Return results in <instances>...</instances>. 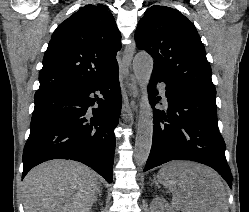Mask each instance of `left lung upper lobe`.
Listing matches in <instances>:
<instances>
[{
  "label": "left lung upper lobe",
  "mask_w": 249,
  "mask_h": 212,
  "mask_svg": "<svg viewBox=\"0 0 249 212\" xmlns=\"http://www.w3.org/2000/svg\"><path fill=\"white\" fill-rule=\"evenodd\" d=\"M135 40L140 50L154 58V73L216 94L200 36L179 11L166 6L150 7L138 23Z\"/></svg>",
  "instance_id": "1"
}]
</instances>
